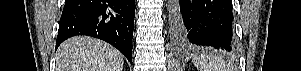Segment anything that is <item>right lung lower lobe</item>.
I'll return each instance as SVG.
<instances>
[{
	"label": "right lung lower lobe",
	"instance_id": "1",
	"mask_svg": "<svg viewBox=\"0 0 301 71\" xmlns=\"http://www.w3.org/2000/svg\"><path fill=\"white\" fill-rule=\"evenodd\" d=\"M135 0H65L56 47L76 36L110 43L132 64Z\"/></svg>",
	"mask_w": 301,
	"mask_h": 71
}]
</instances>
